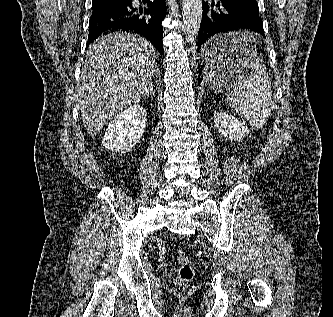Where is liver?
<instances>
[{"label": "liver", "instance_id": "6515ba94", "mask_svg": "<svg viewBox=\"0 0 333 317\" xmlns=\"http://www.w3.org/2000/svg\"><path fill=\"white\" fill-rule=\"evenodd\" d=\"M155 59L154 46L133 33H109L89 46L75 97L89 135L148 95Z\"/></svg>", "mask_w": 333, "mask_h": 317}]
</instances>
